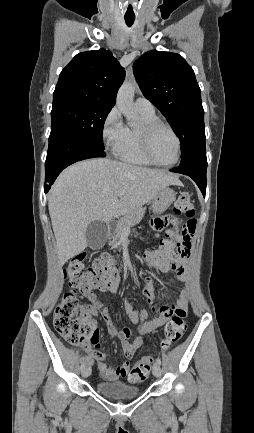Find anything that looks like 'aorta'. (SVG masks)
Instances as JSON below:
<instances>
[{"label": "aorta", "mask_w": 254, "mask_h": 433, "mask_svg": "<svg viewBox=\"0 0 254 433\" xmlns=\"http://www.w3.org/2000/svg\"><path fill=\"white\" fill-rule=\"evenodd\" d=\"M134 91V83L124 82L120 87L116 98L117 107L129 121L137 119V113L133 103Z\"/></svg>", "instance_id": "1"}]
</instances>
